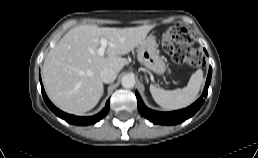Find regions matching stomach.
I'll list each match as a JSON object with an SVG mask.
<instances>
[{
	"label": "stomach",
	"mask_w": 258,
	"mask_h": 158,
	"mask_svg": "<svg viewBox=\"0 0 258 158\" xmlns=\"http://www.w3.org/2000/svg\"><path fill=\"white\" fill-rule=\"evenodd\" d=\"M138 61L157 75L166 71V63L159 55L158 44L153 36L145 38L137 51Z\"/></svg>",
	"instance_id": "obj_1"
}]
</instances>
